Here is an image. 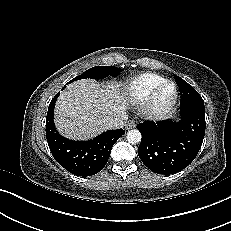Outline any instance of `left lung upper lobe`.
<instances>
[{"instance_id":"left-lung-upper-lobe-1","label":"left lung upper lobe","mask_w":231,"mask_h":231,"mask_svg":"<svg viewBox=\"0 0 231 231\" xmlns=\"http://www.w3.org/2000/svg\"><path fill=\"white\" fill-rule=\"evenodd\" d=\"M175 81L179 87L180 94H181V101L184 103H190L194 101H200L204 102L202 97L199 95V93L186 81H184L182 78L175 76Z\"/></svg>"}]
</instances>
